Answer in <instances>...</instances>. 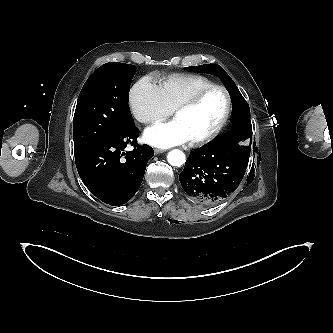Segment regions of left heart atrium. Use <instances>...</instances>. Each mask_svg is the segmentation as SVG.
<instances>
[{
  "mask_svg": "<svg viewBox=\"0 0 333 333\" xmlns=\"http://www.w3.org/2000/svg\"><path fill=\"white\" fill-rule=\"evenodd\" d=\"M144 140L155 147L169 148L184 144L190 141V138L182 125L174 119L147 128L144 132Z\"/></svg>",
  "mask_w": 333,
  "mask_h": 333,
  "instance_id": "1",
  "label": "left heart atrium"
}]
</instances>
